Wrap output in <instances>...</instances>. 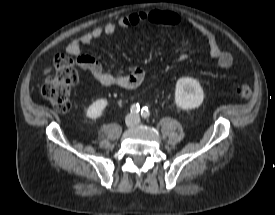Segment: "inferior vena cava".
I'll return each mask as SVG.
<instances>
[{
    "label": "inferior vena cava",
    "mask_w": 275,
    "mask_h": 215,
    "mask_svg": "<svg viewBox=\"0 0 275 215\" xmlns=\"http://www.w3.org/2000/svg\"><path fill=\"white\" fill-rule=\"evenodd\" d=\"M129 117H130V116L128 115L127 118H126L127 121H128V119H129ZM133 118H134L133 123L136 122V121L138 120V116H137V115H133Z\"/></svg>",
    "instance_id": "obj_1"
}]
</instances>
